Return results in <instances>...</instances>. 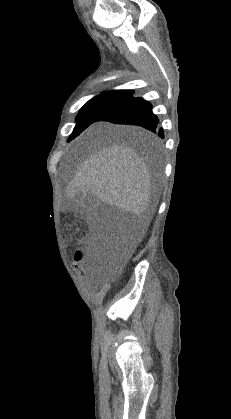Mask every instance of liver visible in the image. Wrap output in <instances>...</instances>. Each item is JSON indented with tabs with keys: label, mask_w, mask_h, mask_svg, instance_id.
<instances>
[{
	"label": "liver",
	"mask_w": 231,
	"mask_h": 419,
	"mask_svg": "<svg viewBox=\"0 0 231 419\" xmlns=\"http://www.w3.org/2000/svg\"><path fill=\"white\" fill-rule=\"evenodd\" d=\"M114 129L137 137L142 143L156 142L153 135L139 127L117 126ZM79 193L93 195L104 204L135 215H144L138 240L145 234L156 211V205H150L151 174L146 161L133 148L122 144L103 147L82 163L68 185L67 196Z\"/></svg>",
	"instance_id": "obj_1"
}]
</instances>
